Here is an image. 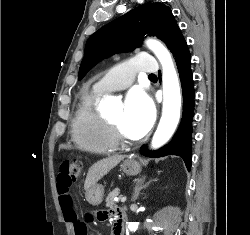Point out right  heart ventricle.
Returning <instances> with one entry per match:
<instances>
[{"mask_svg":"<svg viewBox=\"0 0 250 235\" xmlns=\"http://www.w3.org/2000/svg\"><path fill=\"white\" fill-rule=\"evenodd\" d=\"M103 92L96 88L84 94L76 107L71 124L76 146L85 152L105 154L118 149L111 128L98 110Z\"/></svg>","mask_w":250,"mask_h":235,"instance_id":"e07e8e85","label":"right heart ventricle"}]
</instances>
